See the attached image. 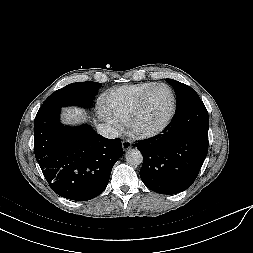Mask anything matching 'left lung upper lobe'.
I'll return each instance as SVG.
<instances>
[{
    "mask_svg": "<svg viewBox=\"0 0 253 253\" xmlns=\"http://www.w3.org/2000/svg\"><path fill=\"white\" fill-rule=\"evenodd\" d=\"M166 81L174 88L177 97V110L187 107L191 104L201 102L194 89L173 79Z\"/></svg>",
    "mask_w": 253,
    "mask_h": 253,
    "instance_id": "left-lung-upper-lobe-1",
    "label": "left lung upper lobe"
}]
</instances>
